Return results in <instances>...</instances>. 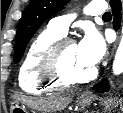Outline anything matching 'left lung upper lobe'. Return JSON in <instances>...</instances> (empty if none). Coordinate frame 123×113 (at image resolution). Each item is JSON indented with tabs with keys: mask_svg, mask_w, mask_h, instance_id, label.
I'll list each match as a JSON object with an SVG mask.
<instances>
[{
	"mask_svg": "<svg viewBox=\"0 0 123 113\" xmlns=\"http://www.w3.org/2000/svg\"><path fill=\"white\" fill-rule=\"evenodd\" d=\"M70 0H32L19 21L14 50V62L18 63L27 42L39 26L49 17L63 9Z\"/></svg>",
	"mask_w": 123,
	"mask_h": 113,
	"instance_id": "left-lung-upper-lobe-1",
	"label": "left lung upper lobe"
}]
</instances>
